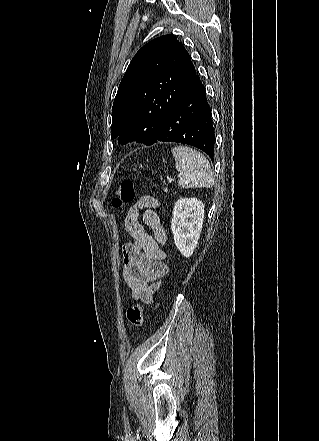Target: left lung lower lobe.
Here are the masks:
<instances>
[{
	"label": "left lung lower lobe",
	"instance_id": "1",
	"mask_svg": "<svg viewBox=\"0 0 319 441\" xmlns=\"http://www.w3.org/2000/svg\"><path fill=\"white\" fill-rule=\"evenodd\" d=\"M214 133L206 90L195 74L149 145L157 141L189 144L201 149L213 160ZM118 143L123 145L125 141L119 136Z\"/></svg>",
	"mask_w": 319,
	"mask_h": 441
}]
</instances>
